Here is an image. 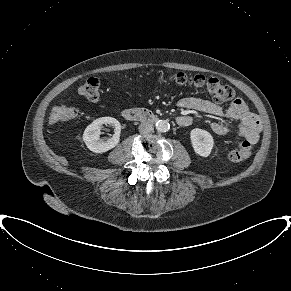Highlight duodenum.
<instances>
[{
  "mask_svg": "<svg viewBox=\"0 0 291 291\" xmlns=\"http://www.w3.org/2000/svg\"><path fill=\"white\" fill-rule=\"evenodd\" d=\"M122 116L127 121L155 122L158 119L154 113L144 108L126 109Z\"/></svg>",
  "mask_w": 291,
  "mask_h": 291,
  "instance_id": "duodenum-1",
  "label": "duodenum"
}]
</instances>
